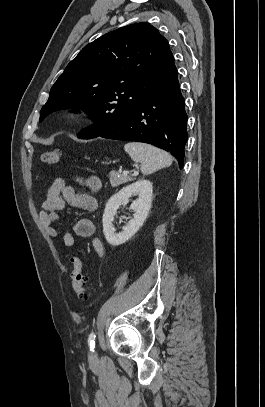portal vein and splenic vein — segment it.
Segmentation results:
<instances>
[{
	"instance_id": "1",
	"label": "portal vein and splenic vein",
	"mask_w": 265,
	"mask_h": 407,
	"mask_svg": "<svg viewBox=\"0 0 265 407\" xmlns=\"http://www.w3.org/2000/svg\"><path fill=\"white\" fill-rule=\"evenodd\" d=\"M132 171H123V174H129V173H131Z\"/></svg>"
}]
</instances>
